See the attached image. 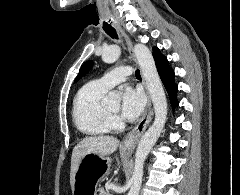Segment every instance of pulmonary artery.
<instances>
[{
  "label": "pulmonary artery",
  "instance_id": "1",
  "mask_svg": "<svg viewBox=\"0 0 240 195\" xmlns=\"http://www.w3.org/2000/svg\"><path fill=\"white\" fill-rule=\"evenodd\" d=\"M133 70L129 65L118 66V71H109L108 74L102 75V78H97V83H103L107 89L112 88L117 83L126 80V76L132 74Z\"/></svg>",
  "mask_w": 240,
  "mask_h": 195
}]
</instances>
